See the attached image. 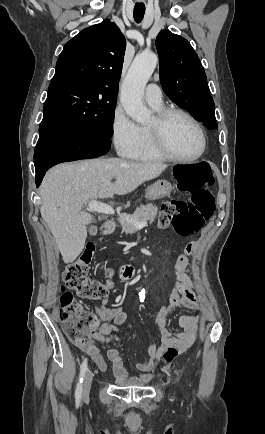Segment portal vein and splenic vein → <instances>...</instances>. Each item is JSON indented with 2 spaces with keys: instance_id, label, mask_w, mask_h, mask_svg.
Instances as JSON below:
<instances>
[{
  "instance_id": "portal-vein-and-splenic-vein-1",
  "label": "portal vein and splenic vein",
  "mask_w": 265,
  "mask_h": 434,
  "mask_svg": "<svg viewBox=\"0 0 265 434\" xmlns=\"http://www.w3.org/2000/svg\"><path fill=\"white\" fill-rule=\"evenodd\" d=\"M86 210H89V212H98V214H115L112 206H107V204H102V202H97V200L87 202ZM120 220L134 222L130 214H120ZM135 226H137L138 230H142V228H145L147 224H135Z\"/></svg>"
}]
</instances>
